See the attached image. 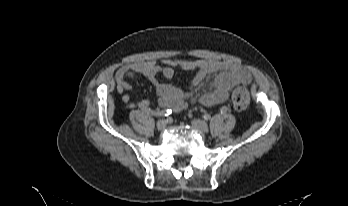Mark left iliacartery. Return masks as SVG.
I'll return each mask as SVG.
<instances>
[{
  "label": "left iliac artery",
  "instance_id": "1",
  "mask_svg": "<svg viewBox=\"0 0 348 206\" xmlns=\"http://www.w3.org/2000/svg\"><path fill=\"white\" fill-rule=\"evenodd\" d=\"M229 110L228 106H222V112L226 113Z\"/></svg>",
  "mask_w": 348,
  "mask_h": 206
}]
</instances>
